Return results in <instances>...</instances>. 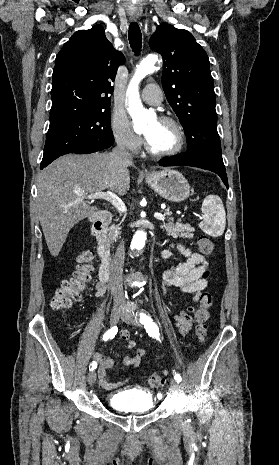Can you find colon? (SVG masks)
Instances as JSON below:
<instances>
[{
    "instance_id": "obj_1",
    "label": "colon",
    "mask_w": 279,
    "mask_h": 465,
    "mask_svg": "<svg viewBox=\"0 0 279 465\" xmlns=\"http://www.w3.org/2000/svg\"><path fill=\"white\" fill-rule=\"evenodd\" d=\"M197 244L200 253L205 256L211 255L215 250L214 243L207 236L199 237ZM92 259L93 253L91 251L84 250L80 253L72 276L63 280L54 294L51 301L53 309H67L74 302L80 300L92 279ZM208 274L209 272L205 271L204 275L208 276ZM212 301V295L209 292H202L199 296V307L195 311V334L200 341H204L207 336L206 322L209 318V308L212 306ZM164 380L162 374L153 373L148 376L147 384L152 388H158L164 383Z\"/></svg>"
}]
</instances>
